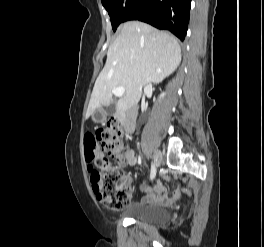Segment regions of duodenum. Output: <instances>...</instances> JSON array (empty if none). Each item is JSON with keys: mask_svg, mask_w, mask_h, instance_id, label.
Returning <instances> with one entry per match:
<instances>
[{"mask_svg": "<svg viewBox=\"0 0 264 247\" xmlns=\"http://www.w3.org/2000/svg\"><path fill=\"white\" fill-rule=\"evenodd\" d=\"M123 128L127 133H132L136 123V108L130 107L119 118Z\"/></svg>", "mask_w": 264, "mask_h": 247, "instance_id": "410a0bca", "label": "duodenum"}]
</instances>
